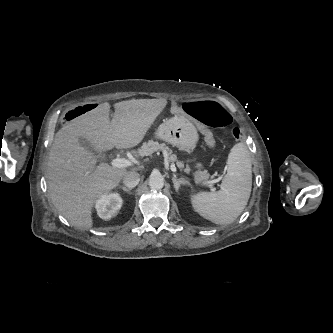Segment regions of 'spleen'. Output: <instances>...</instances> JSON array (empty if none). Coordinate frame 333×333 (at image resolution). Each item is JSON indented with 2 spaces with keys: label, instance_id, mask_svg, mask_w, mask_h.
I'll return each instance as SVG.
<instances>
[{
  "label": "spleen",
  "instance_id": "spleen-1",
  "mask_svg": "<svg viewBox=\"0 0 333 333\" xmlns=\"http://www.w3.org/2000/svg\"><path fill=\"white\" fill-rule=\"evenodd\" d=\"M252 188L251 153L245 143L234 145L227 159V173L217 192H199L192 207L203 218L219 225L233 222L244 210Z\"/></svg>",
  "mask_w": 333,
  "mask_h": 333
}]
</instances>
